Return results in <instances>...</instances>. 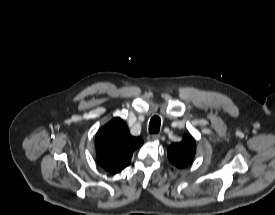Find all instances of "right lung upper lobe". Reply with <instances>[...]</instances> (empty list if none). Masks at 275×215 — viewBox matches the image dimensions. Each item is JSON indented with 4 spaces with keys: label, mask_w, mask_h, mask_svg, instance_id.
<instances>
[{
    "label": "right lung upper lobe",
    "mask_w": 275,
    "mask_h": 215,
    "mask_svg": "<svg viewBox=\"0 0 275 215\" xmlns=\"http://www.w3.org/2000/svg\"><path fill=\"white\" fill-rule=\"evenodd\" d=\"M142 144L141 138L130 135L122 119L114 118L96 134L98 162L105 170L116 174L131 163L133 151Z\"/></svg>",
    "instance_id": "1"
}]
</instances>
